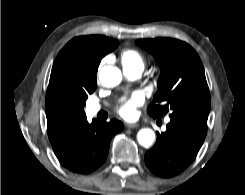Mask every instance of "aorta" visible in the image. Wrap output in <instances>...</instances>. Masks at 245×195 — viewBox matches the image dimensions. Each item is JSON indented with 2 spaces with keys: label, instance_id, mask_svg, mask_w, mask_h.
I'll return each instance as SVG.
<instances>
[{
  "label": "aorta",
  "instance_id": "aorta-1",
  "mask_svg": "<svg viewBox=\"0 0 245 195\" xmlns=\"http://www.w3.org/2000/svg\"><path fill=\"white\" fill-rule=\"evenodd\" d=\"M99 80L105 87H115L120 84L122 80V73L118 67L104 66L99 72ZM138 143L148 148L155 140V133L150 128H143L137 133Z\"/></svg>",
  "mask_w": 245,
  "mask_h": 195
}]
</instances>
